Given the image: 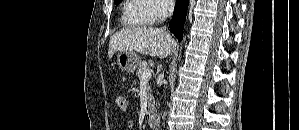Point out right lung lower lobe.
Instances as JSON below:
<instances>
[{"mask_svg": "<svg viewBox=\"0 0 299 130\" xmlns=\"http://www.w3.org/2000/svg\"><path fill=\"white\" fill-rule=\"evenodd\" d=\"M188 0H178L175 4L174 14L169 24L171 31L179 41L183 38V27L186 19Z\"/></svg>", "mask_w": 299, "mask_h": 130, "instance_id": "right-lung-lower-lobe-1", "label": "right lung lower lobe"}]
</instances>
